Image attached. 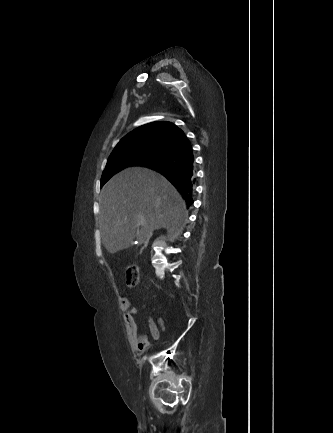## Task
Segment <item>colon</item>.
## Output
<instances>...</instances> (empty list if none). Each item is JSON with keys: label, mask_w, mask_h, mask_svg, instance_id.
Listing matches in <instances>:
<instances>
[{"label": "colon", "mask_w": 333, "mask_h": 433, "mask_svg": "<svg viewBox=\"0 0 333 433\" xmlns=\"http://www.w3.org/2000/svg\"><path fill=\"white\" fill-rule=\"evenodd\" d=\"M140 281V271L138 266L132 264L126 268V282L130 287H135Z\"/></svg>", "instance_id": "obj_1"}]
</instances>
